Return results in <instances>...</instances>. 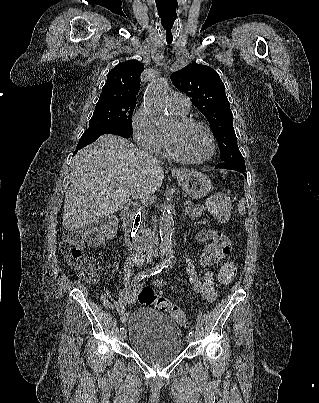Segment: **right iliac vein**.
I'll use <instances>...</instances> for the list:
<instances>
[{
  "label": "right iliac vein",
  "instance_id": "63e3f726",
  "mask_svg": "<svg viewBox=\"0 0 319 403\" xmlns=\"http://www.w3.org/2000/svg\"><path fill=\"white\" fill-rule=\"evenodd\" d=\"M126 336H127L126 335V330L122 331L121 335H120L121 340L124 341L126 339Z\"/></svg>",
  "mask_w": 319,
  "mask_h": 403
}]
</instances>
